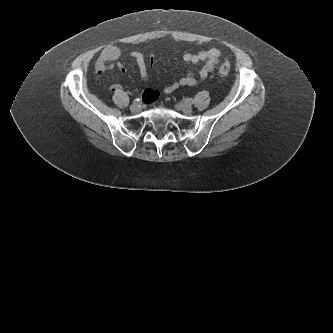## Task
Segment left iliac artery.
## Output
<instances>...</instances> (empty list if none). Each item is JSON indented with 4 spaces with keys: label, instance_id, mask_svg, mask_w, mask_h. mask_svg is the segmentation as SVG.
Masks as SVG:
<instances>
[{
    "label": "left iliac artery",
    "instance_id": "obj_1",
    "mask_svg": "<svg viewBox=\"0 0 333 333\" xmlns=\"http://www.w3.org/2000/svg\"><path fill=\"white\" fill-rule=\"evenodd\" d=\"M186 101L188 104H193V102H194L192 98H187Z\"/></svg>",
    "mask_w": 333,
    "mask_h": 333
}]
</instances>
